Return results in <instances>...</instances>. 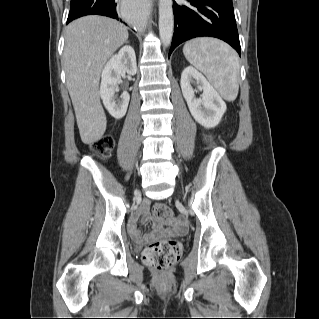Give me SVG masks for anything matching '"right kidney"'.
Returning a JSON list of instances; mask_svg holds the SVG:
<instances>
[{"instance_id": "1", "label": "right kidney", "mask_w": 319, "mask_h": 319, "mask_svg": "<svg viewBox=\"0 0 319 319\" xmlns=\"http://www.w3.org/2000/svg\"><path fill=\"white\" fill-rule=\"evenodd\" d=\"M135 75L137 72L136 55L131 46L122 47L117 54L107 62L101 74L100 96L105 108L115 119L125 116L130 96L123 92L117 99L115 92L118 91V84L121 74Z\"/></svg>"}]
</instances>
